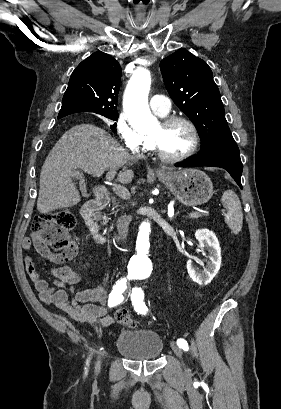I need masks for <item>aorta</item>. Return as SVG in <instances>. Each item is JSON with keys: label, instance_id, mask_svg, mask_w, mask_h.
Instances as JSON below:
<instances>
[{"label": "aorta", "instance_id": "obj_1", "mask_svg": "<svg viewBox=\"0 0 281 409\" xmlns=\"http://www.w3.org/2000/svg\"><path fill=\"white\" fill-rule=\"evenodd\" d=\"M151 85L150 72L139 68L130 81L124 98V110L131 126L138 132L147 133L157 126V119L151 114L148 94ZM142 232H149L150 224H141Z\"/></svg>", "mask_w": 281, "mask_h": 409}]
</instances>
